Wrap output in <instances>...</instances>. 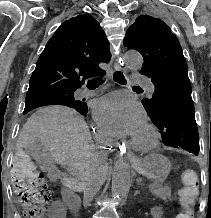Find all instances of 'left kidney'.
<instances>
[{"instance_id": "obj_1", "label": "left kidney", "mask_w": 211, "mask_h": 218, "mask_svg": "<svg viewBox=\"0 0 211 218\" xmlns=\"http://www.w3.org/2000/svg\"><path fill=\"white\" fill-rule=\"evenodd\" d=\"M163 207H152L150 210L151 218H163Z\"/></svg>"}]
</instances>
